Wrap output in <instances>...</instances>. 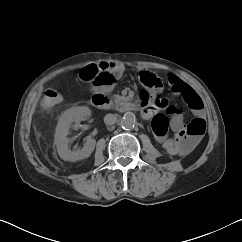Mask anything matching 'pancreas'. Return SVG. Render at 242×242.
Masks as SVG:
<instances>
[{
  "label": "pancreas",
  "mask_w": 242,
  "mask_h": 242,
  "mask_svg": "<svg viewBox=\"0 0 242 242\" xmlns=\"http://www.w3.org/2000/svg\"><path fill=\"white\" fill-rule=\"evenodd\" d=\"M123 100H124V97L119 96V95H114V101L115 102H120V101H123Z\"/></svg>",
  "instance_id": "cf45deb5"
}]
</instances>
